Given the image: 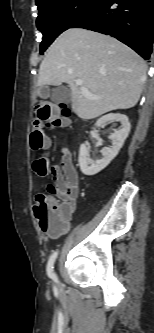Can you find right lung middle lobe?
Wrapping results in <instances>:
<instances>
[{"mask_svg":"<svg viewBox=\"0 0 154 333\" xmlns=\"http://www.w3.org/2000/svg\"><path fill=\"white\" fill-rule=\"evenodd\" d=\"M101 0H39L37 27L43 33L40 54L54 39L87 16Z\"/></svg>","mask_w":154,"mask_h":333,"instance_id":"1","label":"right lung middle lobe"}]
</instances>
